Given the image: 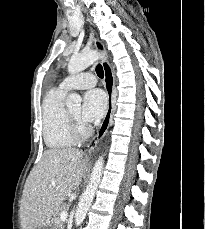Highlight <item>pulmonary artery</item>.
<instances>
[{"label": "pulmonary artery", "instance_id": "e3ab8cb5", "mask_svg": "<svg viewBox=\"0 0 205 229\" xmlns=\"http://www.w3.org/2000/svg\"><path fill=\"white\" fill-rule=\"evenodd\" d=\"M96 78L93 74L84 72L66 77L59 88L68 92L74 89H86L95 86Z\"/></svg>", "mask_w": 205, "mask_h": 229}]
</instances>
